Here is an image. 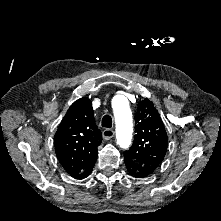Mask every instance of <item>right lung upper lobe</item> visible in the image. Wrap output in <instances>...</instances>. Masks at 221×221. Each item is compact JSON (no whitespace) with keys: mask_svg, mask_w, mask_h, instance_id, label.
<instances>
[{"mask_svg":"<svg viewBox=\"0 0 221 221\" xmlns=\"http://www.w3.org/2000/svg\"><path fill=\"white\" fill-rule=\"evenodd\" d=\"M101 140L91 100L78 99L69 107L54 136L57 158L71 177L82 179L94 166Z\"/></svg>","mask_w":221,"mask_h":221,"instance_id":"1","label":"right lung upper lobe"}]
</instances>
